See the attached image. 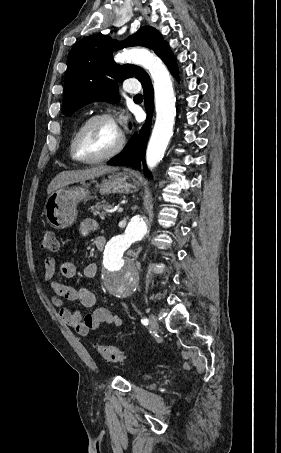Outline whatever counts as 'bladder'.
<instances>
[{
  "mask_svg": "<svg viewBox=\"0 0 281 453\" xmlns=\"http://www.w3.org/2000/svg\"><path fill=\"white\" fill-rule=\"evenodd\" d=\"M149 378V375H144L143 376V379H148Z\"/></svg>",
  "mask_w": 281,
  "mask_h": 453,
  "instance_id": "31cf9c89",
  "label": "bladder"
}]
</instances>
